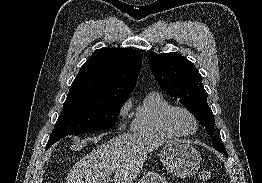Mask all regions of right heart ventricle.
<instances>
[{"mask_svg": "<svg viewBox=\"0 0 262 183\" xmlns=\"http://www.w3.org/2000/svg\"><path fill=\"white\" fill-rule=\"evenodd\" d=\"M173 104L161 93H148L137 106L131 123L132 132L150 137L176 139L179 135L166 124V114Z\"/></svg>", "mask_w": 262, "mask_h": 183, "instance_id": "right-heart-ventricle-1", "label": "right heart ventricle"}]
</instances>
